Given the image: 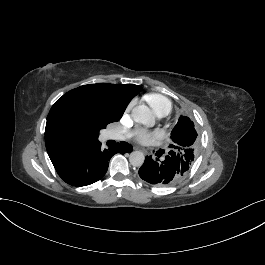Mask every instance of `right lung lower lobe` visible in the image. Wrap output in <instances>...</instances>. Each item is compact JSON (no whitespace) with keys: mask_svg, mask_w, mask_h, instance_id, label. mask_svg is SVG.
Segmentation results:
<instances>
[{"mask_svg":"<svg viewBox=\"0 0 265 265\" xmlns=\"http://www.w3.org/2000/svg\"><path fill=\"white\" fill-rule=\"evenodd\" d=\"M132 150L133 147L126 142L102 150L101 143L96 141L70 151L53 165L66 183L81 187L100 180L106 174L113 155L130 153Z\"/></svg>","mask_w":265,"mask_h":265,"instance_id":"right-lung-lower-lobe-1","label":"right lung lower lobe"}]
</instances>
